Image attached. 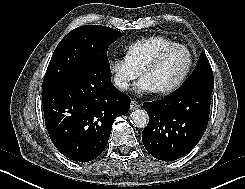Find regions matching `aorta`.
Instances as JSON below:
<instances>
[{"mask_svg":"<svg viewBox=\"0 0 245 189\" xmlns=\"http://www.w3.org/2000/svg\"><path fill=\"white\" fill-rule=\"evenodd\" d=\"M131 121L133 126L137 128H144L148 123V114L145 110L137 109L131 113Z\"/></svg>","mask_w":245,"mask_h":189,"instance_id":"762f6f07","label":"aorta"}]
</instances>
